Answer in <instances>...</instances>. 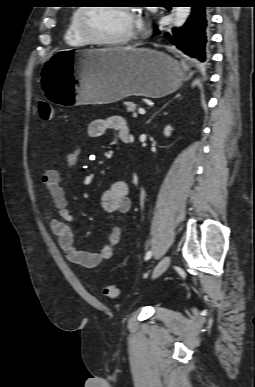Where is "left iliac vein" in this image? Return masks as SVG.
Instances as JSON below:
<instances>
[{
    "mask_svg": "<svg viewBox=\"0 0 255 387\" xmlns=\"http://www.w3.org/2000/svg\"><path fill=\"white\" fill-rule=\"evenodd\" d=\"M169 265H170V257L165 256L164 258H162V260L155 267L153 274H152V278L155 279V278L159 277L161 274H163L167 270Z\"/></svg>",
    "mask_w": 255,
    "mask_h": 387,
    "instance_id": "4c4485c4",
    "label": "left iliac vein"
}]
</instances>
